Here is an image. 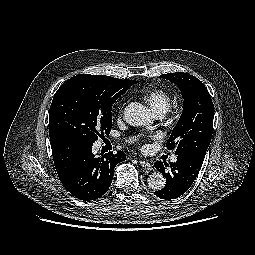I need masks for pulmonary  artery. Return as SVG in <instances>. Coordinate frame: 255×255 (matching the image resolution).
<instances>
[{
  "mask_svg": "<svg viewBox=\"0 0 255 255\" xmlns=\"http://www.w3.org/2000/svg\"><path fill=\"white\" fill-rule=\"evenodd\" d=\"M156 115H157L158 118H161V117L164 115V113H157ZM171 161H172V162H176V161H177V156H176V155H173V156L171 157Z\"/></svg>",
  "mask_w": 255,
  "mask_h": 255,
  "instance_id": "1",
  "label": "pulmonary artery"
}]
</instances>
